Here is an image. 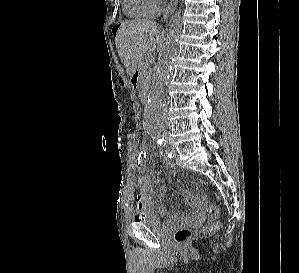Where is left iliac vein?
Instances as JSON below:
<instances>
[{"label":"left iliac vein","mask_w":299,"mask_h":273,"mask_svg":"<svg viewBox=\"0 0 299 273\" xmlns=\"http://www.w3.org/2000/svg\"><path fill=\"white\" fill-rule=\"evenodd\" d=\"M172 152H173V154L175 155V156H177L178 155V152H177V150L176 149H172Z\"/></svg>","instance_id":"1"}]
</instances>
